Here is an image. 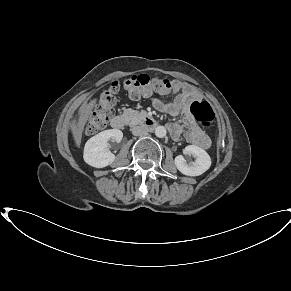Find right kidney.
Instances as JSON below:
<instances>
[{"label":"right kidney","instance_id":"ca27d5eb","mask_svg":"<svg viewBox=\"0 0 291 291\" xmlns=\"http://www.w3.org/2000/svg\"><path fill=\"white\" fill-rule=\"evenodd\" d=\"M123 133L119 129H109L90 138L84 147V161L95 168H104L112 164L115 155L108 149V140L120 142Z\"/></svg>","mask_w":291,"mask_h":291}]
</instances>
